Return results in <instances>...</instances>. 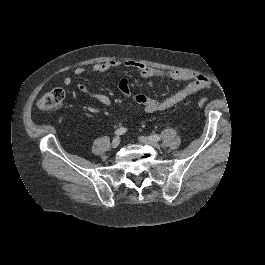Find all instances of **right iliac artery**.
Returning a JSON list of instances; mask_svg holds the SVG:
<instances>
[{
    "mask_svg": "<svg viewBox=\"0 0 265 265\" xmlns=\"http://www.w3.org/2000/svg\"><path fill=\"white\" fill-rule=\"evenodd\" d=\"M126 132H127V129L126 128L120 127L114 133H115V135H122V134H124Z\"/></svg>",
    "mask_w": 265,
    "mask_h": 265,
    "instance_id": "82829eb1",
    "label": "right iliac artery"
}]
</instances>
